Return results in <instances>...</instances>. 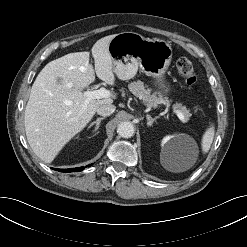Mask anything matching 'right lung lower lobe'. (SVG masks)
<instances>
[{
  "instance_id": "right-lung-lower-lobe-1",
  "label": "right lung lower lobe",
  "mask_w": 247,
  "mask_h": 247,
  "mask_svg": "<svg viewBox=\"0 0 247 247\" xmlns=\"http://www.w3.org/2000/svg\"><path fill=\"white\" fill-rule=\"evenodd\" d=\"M91 165H92V164H90V165H88V166H86V167H89V166H91ZM84 168H85V167H79V168H74V169H72V168H70V169H56V170H58V171H60V172H74V171L78 172V171H82Z\"/></svg>"
}]
</instances>
